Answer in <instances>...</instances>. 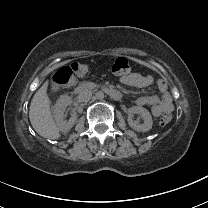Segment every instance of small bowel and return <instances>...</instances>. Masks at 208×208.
Listing matches in <instances>:
<instances>
[{
  "mask_svg": "<svg viewBox=\"0 0 208 208\" xmlns=\"http://www.w3.org/2000/svg\"><path fill=\"white\" fill-rule=\"evenodd\" d=\"M120 81L131 87L137 88H147L155 83L157 84L160 92L161 98L159 101H154L153 99L146 97H139L137 99V104L145 106L150 105L151 111L154 116H159L162 113H169L173 109L171 95L168 90V85L164 80H156L152 75H141L139 73H128L122 75Z\"/></svg>",
  "mask_w": 208,
  "mask_h": 208,
  "instance_id": "c3829d8e",
  "label": "small bowel"
}]
</instances>
